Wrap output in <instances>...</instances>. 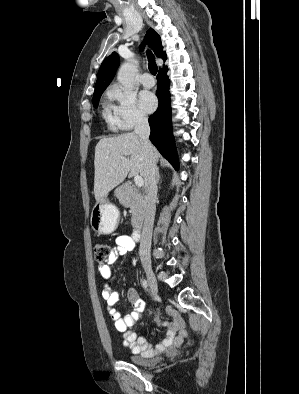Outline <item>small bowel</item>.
<instances>
[{
	"instance_id": "obj_1",
	"label": "small bowel",
	"mask_w": 299,
	"mask_h": 394,
	"mask_svg": "<svg viewBox=\"0 0 299 394\" xmlns=\"http://www.w3.org/2000/svg\"><path fill=\"white\" fill-rule=\"evenodd\" d=\"M134 240L129 235H118L115 238V246L111 251V255L106 263L99 265V273L104 280L102 295L108 307V313L114 321L117 331L123 334L124 345L127 346L134 354H140L150 358L164 351H171L177 348L183 342L187 332L184 327V320L178 312L169 307L167 313L173 317L171 322H162L157 318V322L166 328V337L158 344H150L144 336H137L133 331V327L140 319L143 311V304L139 298L138 292L134 288H130L127 297L133 306V310L126 316L116 310L115 306L119 301V294L115 292L109 285L112 278V265L122 256L126 255L134 248Z\"/></svg>"
}]
</instances>
